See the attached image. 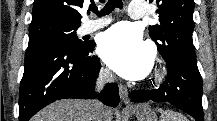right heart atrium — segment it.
Segmentation results:
<instances>
[{"label": "right heart atrium", "mask_w": 217, "mask_h": 121, "mask_svg": "<svg viewBox=\"0 0 217 121\" xmlns=\"http://www.w3.org/2000/svg\"><path fill=\"white\" fill-rule=\"evenodd\" d=\"M101 75L104 76V77H107L108 76V72L105 69H102L101 70Z\"/></svg>", "instance_id": "right-heart-atrium-1"}]
</instances>
